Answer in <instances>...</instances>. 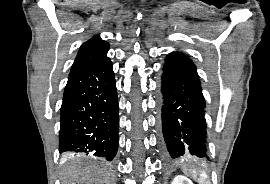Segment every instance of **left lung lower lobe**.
<instances>
[{
    "label": "left lung lower lobe",
    "mask_w": 270,
    "mask_h": 184,
    "mask_svg": "<svg viewBox=\"0 0 270 184\" xmlns=\"http://www.w3.org/2000/svg\"><path fill=\"white\" fill-rule=\"evenodd\" d=\"M205 99L193 61L181 52L165 60L160 90L159 143L168 163L209 160Z\"/></svg>",
    "instance_id": "obj_1"
}]
</instances>
